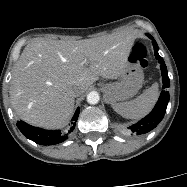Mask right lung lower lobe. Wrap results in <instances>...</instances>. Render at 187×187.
<instances>
[{"mask_svg": "<svg viewBox=\"0 0 187 187\" xmlns=\"http://www.w3.org/2000/svg\"><path fill=\"white\" fill-rule=\"evenodd\" d=\"M80 109L77 108L73 118H72V124L73 126L70 128L69 133H71L75 127V122L78 119ZM19 130L23 133L24 136H26L28 139L34 141L37 144L40 145H54L61 143L65 141L68 137V134H63L60 132V130H44L38 127H33L24 121H18L16 124Z\"/></svg>", "mask_w": 187, "mask_h": 187, "instance_id": "right-lung-lower-lobe-1", "label": "right lung lower lobe"}]
</instances>
